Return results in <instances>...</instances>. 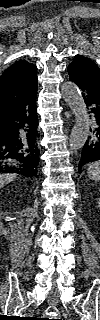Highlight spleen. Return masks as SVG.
Listing matches in <instances>:
<instances>
[{"mask_svg":"<svg viewBox=\"0 0 100 320\" xmlns=\"http://www.w3.org/2000/svg\"><path fill=\"white\" fill-rule=\"evenodd\" d=\"M88 177L93 181L100 180V163L93 162L87 166Z\"/></svg>","mask_w":100,"mask_h":320,"instance_id":"3e777b00","label":"spleen"}]
</instances>
